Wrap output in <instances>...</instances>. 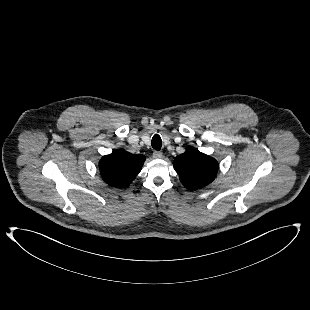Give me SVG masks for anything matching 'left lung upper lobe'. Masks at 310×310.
I'll use <instances>...</instances> for the list:
<instances>
[{"label": "left lung upper lobe", "instance_id": "left-lung-upper-lobe-1", "mask_svg": "<svg viewBox=\"0 0 310 310\" xmlns=\"http://www.w3.org/2000/svg\"><path fill=\"white\" fill-rule=\"evenodd\" d=\"M173 166L181 183L190 190L200 189L210 184L219 167L214 158L195 148H188L183 154L177 156Z\"/></svg>", "mask_w": 310, "mask_h": 310}]
</instances>
